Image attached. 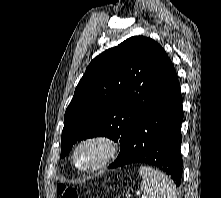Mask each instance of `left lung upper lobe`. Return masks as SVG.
Wrapping results in <instances>:
<instances>
[{
	"instance_id": "1",
	"label": "left lung upper lobe",
	"mask_w": 221,
	"mask_h": 198,
	"mask_svg": "<svg viewBox=\"0 0 221 198\" xmlns=\"http://www.w3.org/2000/svg\"><path fill=\"white\" fill-rule=\"evenodd\" d=\"M173 69L154 40L134 36L95 57L78 83L64 115L61 157L73 144L106 136L121 149L163 90Z\"/></svg>"
}]
</instances>
